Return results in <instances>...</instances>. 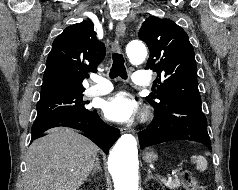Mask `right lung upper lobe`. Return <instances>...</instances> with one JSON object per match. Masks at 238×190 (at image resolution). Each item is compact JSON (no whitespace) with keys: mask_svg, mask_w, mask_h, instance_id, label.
<instances>
[{"mask_svg":"<svg viewBox=\"0 0 238 190\" xmlns=\"http://www.w3.org/2000/svg\"><path fill=\"white\" fill-rule=\"evenodd\" d=\"M92 21L65 28L56 37L46 61L40 99L81 93L88 72H96L105 57V45L97 40Z\"/></svg>","mask_w":238,"mask_h":190,"instance_id":"1","label":"right lung upper lobe"}]
</instances>
